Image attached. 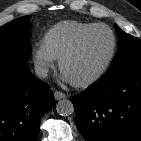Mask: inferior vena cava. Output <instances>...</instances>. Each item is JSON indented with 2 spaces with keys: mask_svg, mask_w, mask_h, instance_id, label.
I'll return each instance as SVG.
<instances>
[{
  "mask_svg": "<svg viewBox=\"0 0 141 141\" xmlns=\"http://www.w3.org/2000/svg\"><path fill=\"white\" fill-rule=\"evenodd\" d=\"M48 67L44 64H36L35 65V73L41 77V78H46L48 75Z\"/></svg>",
  "mask_w": 141,
  "mask_h": 141,
  "instance_id": "obj_1",
  "label": "inferior vena cava"
}]
</instances>
